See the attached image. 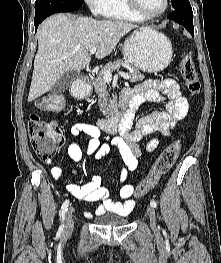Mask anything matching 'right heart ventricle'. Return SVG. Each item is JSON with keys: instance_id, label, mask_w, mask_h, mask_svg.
<instances>
[{"instance_id": "obj_1", "label": "right heart ventricle", "mask_w": 221, "mask_h": 263, "mask_svg": "<svg viewBox=\"0 0 221 263\" xmlns=\"http://www.w3.org/2000/svg\"><path fill=\"white\" fill-rule=\"evenodd\" d=\"M105 17L122 21H141L142 19L128 6L126 0H107Z\"/></svg>"}]
</instances>
